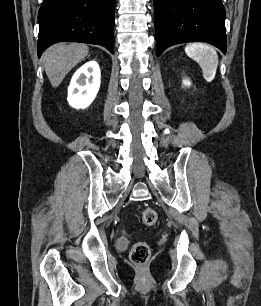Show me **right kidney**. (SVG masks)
I'll return each instance as SVG.
<instances>
[{
	"mask_svg": "<svg viewBox=\"0 0 261 306\" xmlns=\"http://www.w3.org/2000/svg\"><path fill=\"white\" fill-rule=\"evenodd\" d=\"M100 68L96 61H89L73 75L68 87L67 100L76 109L87 108L100 88Z\"/></svg>",
	"mask_w": 261,
	"mask_h": 306,
	"instance_id": "1",
	"label": "right kidney"
}]
</instances>
